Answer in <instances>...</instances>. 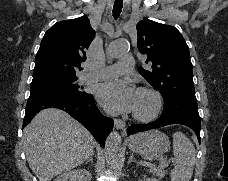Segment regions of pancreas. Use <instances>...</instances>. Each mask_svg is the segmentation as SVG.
<instances>
[{
    "label": "pancreas",
    "instance_id": "cf45deb5",
    "mask_svg": "<svg viewBox=\"0 0 228 181\" xmlns=\"http://www.w3.org/2000/svg\"><path fill=\"white\" fill-rule=\"evenodd\" d=\"M155 173L156 175H158V177H165V175H167L166 171H163V167L162 168L160 167L159 169H157Z\"/></svg>",
    "mask_w": 228,
    "mask_h": 181
}]
</instances>
